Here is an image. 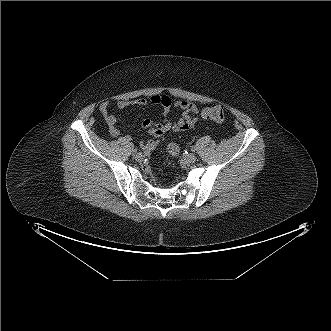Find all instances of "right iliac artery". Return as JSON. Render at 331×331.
<instances>
[{
	"label": "right iliac artery",
	"instance_id": "82829eb1",
	"mask_svg": "<svg viewBox=\"0 0 331 331\" xmlns=\"http://www.w3.org/2000/svg\"><path fill=\"white\" fill-rule=\"evenodd\" d=\"M133 152H134V153H137V152H138V149H137V148H134V149H133Z\"/></svg>",
	"mask_w": 331,
	"mask_h": 331
}]
</instances>
